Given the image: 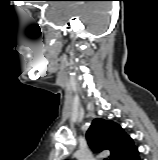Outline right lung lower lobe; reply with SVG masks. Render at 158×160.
<instances>
[{
	"mask_svg": "<svg viewBox=\"0 0 158 160\" xmlns=\"http://www.w3.org/2000/svg\"><path fill=\"white\" fill-rule=\"evenodd\" d=\"M122 160H140L137 147L134 148Z\"/></svg>",
	"mask_w": 158,
	"mask_h": 160,
	"instance_id": "98d812e1",
	"label": "right lung lower lobe"
}]
</instances>
